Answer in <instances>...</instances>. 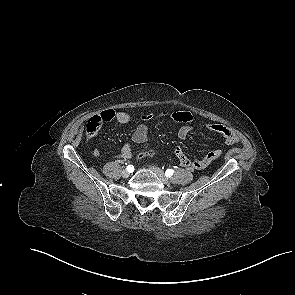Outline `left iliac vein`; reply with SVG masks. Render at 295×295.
Returning a JSON list of instances; mask_svg holds the SVG:
<instances>
[{"mask_svg":"<svg viewBox=\"0 0 295 295\" xmlns=\"http://www.w3.org/2000/svg\"><path fill=\"white\" fill-rule=\"evenodd\" d=\"M152 171L158 176L161 182H163L166 185L170 184V180L165 176L164 172L155 166H151Z\"/></svg>","mask_w":295,"mask_h":295,"instance_id":"1","label":"left iliac vein"}]
</instances>
